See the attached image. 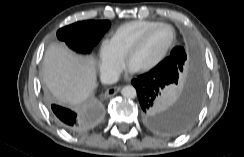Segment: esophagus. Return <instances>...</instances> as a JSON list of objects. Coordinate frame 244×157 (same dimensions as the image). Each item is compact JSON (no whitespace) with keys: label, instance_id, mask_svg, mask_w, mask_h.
<instances>
[{"label":"esophagus","instance_id":"34e87169","mask_svg":"<svg viewBox=\"0 0 244 157\" xmlns=\"http://www.w3.org/2000/svg\"><path fill=\"white\" fill-rule=\"evenodd\" d=\"M121 90V86L110 87L107 89L105 95L107 97H112L116 95Z\"/></svg>","mask_w":244,"mask_h":157}]
</instances>
